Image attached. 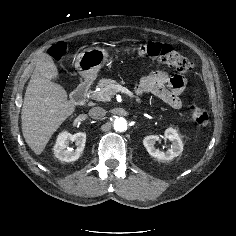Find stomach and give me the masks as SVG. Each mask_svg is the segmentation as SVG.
I'll return each instance as SVG.
<instances>
[{
    "label": "stomach",
    "mask_w": 236,
    "mask_h": 236,
    "mask_svg": "<svg viewBox=\"0 0 236 236\" xmlns=\"http://www.w3.org/2000/svg\"><path fill=\"white\" fill-rule=\"evenodd\" d=\"M108 60V53L99 47L88 48L75 58V68L84 78H93Z\"/></svg>",
    "instance_id": "0dacf381"
}]
</instances>
